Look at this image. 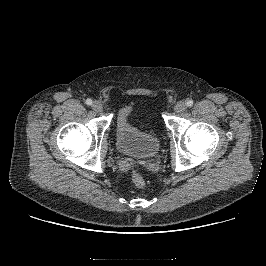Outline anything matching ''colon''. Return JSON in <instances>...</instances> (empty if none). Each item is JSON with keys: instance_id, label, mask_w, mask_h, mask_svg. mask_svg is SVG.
I'll list each match as a JSON object with an SVG mask.
<instances>
[{"instance_id": "colon-1", "label": "colon", "mask_w": 266, "mask_h": 266, "mask_svg": "<svg viewBox=\"0 0 266 266\" xmlns=\"http://www.w3.org/2000/svg\"><path fill=\"white\" fill-rule=\"evenodd\" d=\"M132 182L137 188H144L146 186V180L144 176L138 171L134 170L132 172Z\"/></svg>"}]
</instances>
